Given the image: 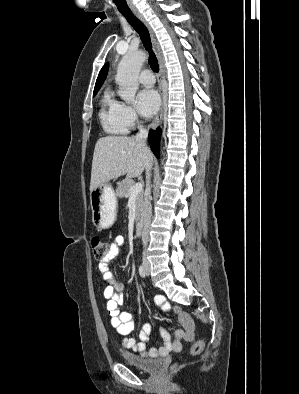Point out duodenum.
I'll list each match as a JSON object with an SVG mask.
<instances>
[{
    "label": "duodenum",
    "instance_id": "1",
    "mask_svg": "<svg viewBox=\"0 0 299 394\" xmlns=\"http://www.w3.org/2000/svg\"><path fill=\"white\" fill-rule=\"evenodd\" d=\"M142 230H143L142 222H137L136 228H135L136 235H140L142 233Z\"/></svg>",
    "mask_w": 299,
    "mask_h": 394
}]
</instances>
